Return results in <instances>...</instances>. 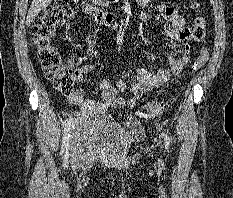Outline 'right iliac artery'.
I'll return each instance as SVG.
<instances>
[{"mask_svg": "<svg viewBox=\"0 0 233 198\" xmlns=\"http://www.w3.org/2000/svg\"><path fill=\"white\" fill-rule=\"evenodd\" d=\"M72 120L69 119L66 122L65 128H64V134H63V142L61 147V153L63 154L65 151V158L68 157V147H69V137H70V127H71Z\"/></svg>", "mask_w": 233, "mask_h": 198, "instance_id": "right-iliac-artery-1", "label": "right iliac artery"}]
</instances>
